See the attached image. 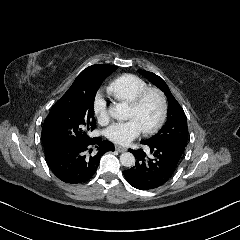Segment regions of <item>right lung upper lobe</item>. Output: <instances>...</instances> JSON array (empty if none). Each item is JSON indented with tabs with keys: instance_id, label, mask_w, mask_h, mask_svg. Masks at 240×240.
Masks as SVG:
<instances>
[{
	"instance_id": "right-lung-upper-lobe-1",
	"label": "right lung upper lobe",
	"mask_w": 240,
	"mask_h": 240,
	"mask_svg": "<svg viewBox=\"0 0 240 240\" xmlns=\"http://www.w3.org/2000/svg\"><path fill=\"white\" fill-rule=\"evenodd\" d=\"M117 69L116 66L113 65H105V64H101V65H92L87 67L86 69H84L81 74L84 73H88V72H94V73H112Z\"/></svg>"
}]
</instances>
